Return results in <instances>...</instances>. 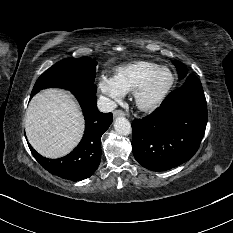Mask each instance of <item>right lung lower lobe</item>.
Masks as SVG:
<instances>
[{"label": "right lung lower lobe", "instance_id": "right-lung-lower-lobe-1", "mask_svg": "<svg viewBox=\"0 0 233 233\" xmlns=\"http://www.w3.org/2000/svg\"><path fill=\"white\" fill-rule=\"evenodd\" d=\"M78 99L84 117L85 134L79 145L60 159H48L38 154L30 145L35 159L51 174L67 180L80 181L89 178L101 161L100 139L112 123L111 113H101L96 106V91L74 89L71 91Z\"/></svg>", "mask_w": 233, "mask_h": 233}]
</instances>
